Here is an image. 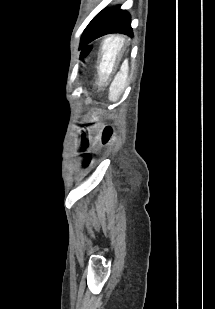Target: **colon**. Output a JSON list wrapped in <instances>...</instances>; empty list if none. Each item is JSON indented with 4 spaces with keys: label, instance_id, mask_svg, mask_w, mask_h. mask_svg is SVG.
Here are the masks:
<instances>
[{
    "label": "colon",
    "instance_id": "1",
    "mask_svg": "<svg viewBox=\"0 0 215 309\" xmlns=\"http://www.w3.org/2000/svg\"><path fill=\"white\" fill-rule=\"evenodd\" d=\"M114 139V129L112 125H107L102 133V142L108 144Z\"/></svg>",
    "mask_w": 215,
    "mask_h": 309
}]
</instances>
